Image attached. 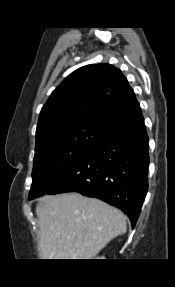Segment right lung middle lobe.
Returning a JSON list of instances; mask_svg holds the SVG:
<instances>
[{
  "label": "right lung middle lobe",
  "mask_w": 175,
  "mask_h": 287,
  "mask_svg": "<svg viewBox=\"0 0 175 287\" xmlns=\"http://www.w3.org/2000/svg\"><path fill=\"white\" fill-rule=\"evenodd\" d=\"M111 127L100 122L65 124L37 137L29 198L84 156Z\"/></svg>",
  "instance_id": "obj_1"
}]
</instances>
